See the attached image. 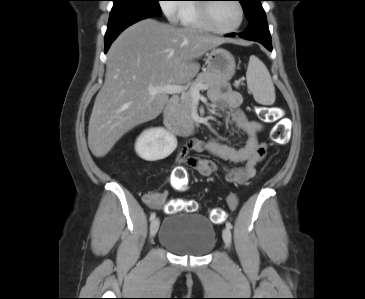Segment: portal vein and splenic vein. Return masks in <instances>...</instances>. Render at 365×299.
<instances>
[{
	"label": "portal vein and splenic vein",
	"instance_id": "1",
	"mask_svg": "<svg viewBox=\"0 0 365 299\" xmlns=\"http://www.w3.org/2000/svg\"><path fill=\"white\" fill-rule=\"evenodd\" d=\"M207 86L203 85V84H198L194 87L190 88V94L192 95V97H199L200 96V90H206ZM186 90L185 86L182 85H172V84H167L165 86H161V87H150L149 88V93L151 95H156L158 93H165V94H179V93H184Z\"/></svg>",
	"mask_w": 365,
	"mask_h": 299
}]
</instances>
